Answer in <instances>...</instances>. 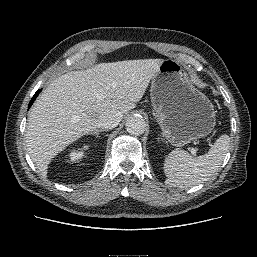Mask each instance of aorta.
<instances>
[{"label": "aorta", "instance_id": "obj_1", "mask_svg": "<svg viewBox=\"0 0 257 257\" xmlns=\"http://www.w3.org/2000/svg\"><path fill=\"white\" fill-rule=\"evenodd\" d=\"M146 127L145 120L140 115H132L126 121L127 132L131 135H141Z\"/></svg>", "mask_w": 257, "mask_h": 257}]
</instances>
